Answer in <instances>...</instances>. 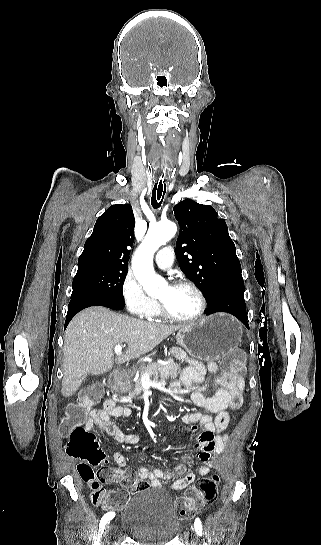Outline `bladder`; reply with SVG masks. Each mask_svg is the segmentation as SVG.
Returning a JSON list of instances; mask_svg holds the SVG:
<instances>
[{"label": "bladder", "instance_id": "obj_1", "mask_svg": "<svg viewBox=\"0 0 321 545\" xmlns=\"http://www.w3.org/2000/svg\"><path fill=\"white\" fill-rule=\"evenodd\" d=\"M123 530L140 545H165L179 531V520L165 489L136 492L120 516Z\"/></svg>", "mask_w": 321, "mask_h": 545}]
</instances>
